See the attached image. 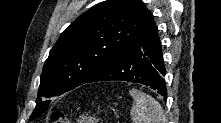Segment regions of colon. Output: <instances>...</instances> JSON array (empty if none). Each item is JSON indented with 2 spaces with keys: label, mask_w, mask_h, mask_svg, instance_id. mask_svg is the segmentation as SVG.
I'll list each match as a JSON object with an SVG mask.
<instances>
[{
  "label": "colon",
  "mask_w": 221,
  "mask_h": 123,
  "mask_svg": "<svg viewBox=\"0 0 221 123\" xmlns=\"http://www.w3.org/2000/svg\"><path fill=\"white\" fill-rule=\"evenodd\" d=\"M52 122L53 123H68L69 120L64 113L56 112L52 116Z\"/></svg>",
  "instance_id": "obj_1"
}]
</instances>
